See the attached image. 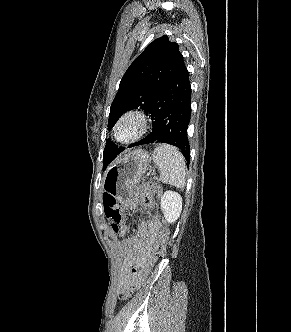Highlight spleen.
I'll return each mask as SVG.
<instances>
[{"label": "spleen", "instance_id": "obj_1", "mask_svg": "<svg viewBox=\"0 0 291 332\" xmlns=\"http://www.w3.org/2000/svg\"><path fill=\"white\" fill-rule=\"evenodd\" d=\"M153 161L159 168L162 182L184 188L186 162L182 153L176 147L160 144L153 152Z\"/></svg>", "mask_w": 291, "mask_h": 332}]
</instances>
